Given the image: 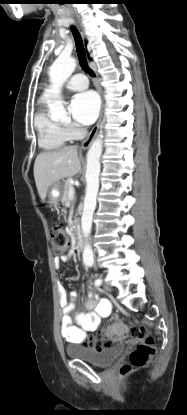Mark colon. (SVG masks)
Instances as JSON below:
<instances>
[{
    "label": "colon",
    "instance_id": "colon-1",
    "mask_svg": "<svg viewBox=\"0 0 187 415\" xmlns=\"http://www.w3.org/2000/svg\"><path fill=\"white\" fill-rule=\"evenodd\" d=\"M50 235L53 241L54 254H63L70 243L68 235L59 225L51 227ZM127 337L141 340L137 347L130 353L128 363L124 364L121 368L122 373H127L131 367L145 366L156 351L154 339L145 327L135 325L127 328L124 323L114 322L98 338L91 339L90 344L95 349H102Z\"/></svg>",
    "mask_w": 187,
    "mask_h": 415
}]
</instances>
